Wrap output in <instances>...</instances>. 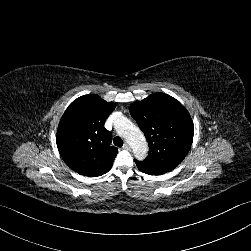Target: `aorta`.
Returning a JSON list of instances; mask_svg holds the SVG:
<instances>
[{"label": "aorta", "instance_id": "aorta-1", "mask_svg": "<svg viewBox=\"0 0 251 251\" xmlns=\"http://www.w3.org/2000/svg\"><path fill=\"white\" fill-rule=\"evenodd\" d=\"M115 124L119 125V127H116V130L131 145L135 156L138 159H143V157L147 153L148 148L142 131L126 118L118 119Z\"/></svg>", "mask_w": 251, "mask_h": 251}]
</instances>
